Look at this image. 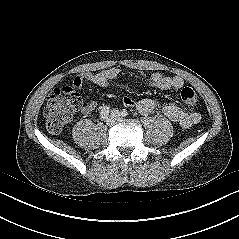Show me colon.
I'll use <instances>...</instances> for the list:
<instances>
[{
  "mask_svg": "<svg viewBox=\"0 0 239 239\" xmlns=\"http://www.w3.org/2000/svg\"><path fill=\"white\" fill-rule=\"evenodd\" d=\"M180 96L188 106L193 107L198 102L197 94L191 87H183ZM81 104L78 92L70 86L58 88L52 92L43 109L48 131L54 134L60 133L70 122L73 113L81 107Z\"/></svg>",
  "mask_w": 239,
  "mask_h": 239,
  "instance_id": "obj_1",
  "label": "colon"
}]
</instances>
